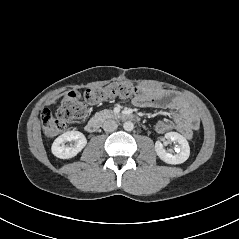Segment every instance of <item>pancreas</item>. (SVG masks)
<instances>
[{
    "instance_id": "1",
    "label": "pancreas",
    "mask_w": 239,
    "mask_h": 239,
    "mask_svg": "<svg viewBox=\"0 0 239 239\" xmlns=\"http://www.w3.org/2000/svg\"><path fill=\"white\" fill-rule=\"evenodd\" d=\"M114 112L112 110H103L98 113H96V117L98 118H107V117H113Z\"/></svg>"
}]
</instances>
